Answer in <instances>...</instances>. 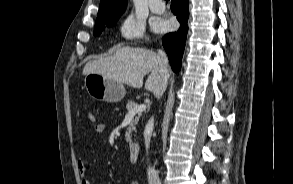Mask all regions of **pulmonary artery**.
<instances>
[{
    "label": "pulmonary artery",
    "instance_id": "obj_1",
    "mask_svg": "<svg viewBox=\"0 0 293 184\" xmlns=\"http://www.w3.org/2000/svg\"><path fill=\"white\" fill-rule=\"evenodd\" d=\"M149 6L155 14H162L165 11V5L161 0H150Z\"/></svg>",
    "mask_w": 293,
    "mask_h": 184
}]
</instances>
